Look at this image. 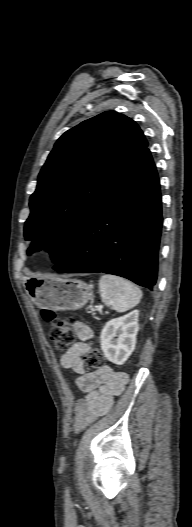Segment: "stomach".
Wrapping results in <instances>:
<instances>
[{
  "label": "stomach",
  "mask_w": 192,
  "mask_h": 527,
  "mask_svg": "<svg viewBox=\"0 0 192 527\" xmlns=\"http://www.w3.org/2000/svg\"><path fill=\"white\" fill-rule=\"evenodd\" d=\"M24 284L33 302L41 309L78 310L92 297L91 285L78 279L45 276L27 278Z\"/></svg>",
  "instance_id": "stomach-1"
}]
</instances>
